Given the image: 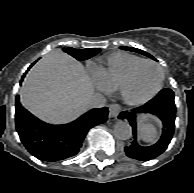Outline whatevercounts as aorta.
<instances>
[{"label": "aorta", "mask_w": 194, "mask_h": 193, "mask_svg": "<svg viewBox=\"0 0 194 193\" xmlns=\"http://www.w3.org/2000/svg\"><path fill=\"white\" fill-rule=\"evenodd\" d=\"M114 134L120 140H127L132 136V128L127 121H119L114 126Z\"/></svg>", "instance_id": "obj_1"}]
</instances>
